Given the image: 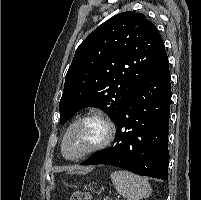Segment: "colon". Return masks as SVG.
<instances>
[{
    "label": "colon",
    "mask_w": 201,
    "mask_h": 200,
    "mask_svg": "<svg viewBox=\"0 0 201 200\" xmlns=\"http://www.w3.org/2000/svg\"><path fill=\"white\" fill-rule=\"evenodd\" d=\"M70 200H92V196L85 191H75L72 193Z\"/></svg>",
    "instance_id": "1"
}]
</instances>
